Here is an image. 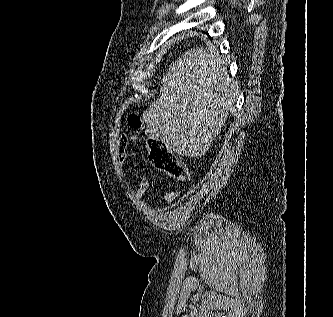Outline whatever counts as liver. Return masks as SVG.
Instances as JSON below:
<instances>
[{"label":"liver","mask_w":333,"mask_h":317,"mask_svg":"<svg viewBox=\"0 0 333 317\" xmlns=\"http://www.w3.org/2000/svg\"><path fill=\"white\" fill-rule=\"evenodd\" d=\"M160 97L143 113L151 133L168 150L204 155L225 125L237 96L217 48L186 51L164 75Z\"/></svg>","instance_id":"1"}]
</instances>
